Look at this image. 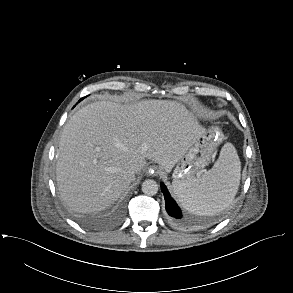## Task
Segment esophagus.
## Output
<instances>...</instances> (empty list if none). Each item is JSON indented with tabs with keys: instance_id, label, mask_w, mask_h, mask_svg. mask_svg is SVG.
<instances>
[{
	"instance_id": "esophagus-1",
	"label": "esophagus",
	"mask_w": 293,
	"mask_h": 293,
	"mask_svg": "<svg viewBox=\"0 0 293 293\" xmlns=\"http://www.w3.org/2000/svg\"><path fill=\"white\" fill-rule=\"evenodd\" d=\"M160 167H158L157 165H152L149 167L148 169V174L151 175V176H156L157 174L160 173Z\"/></svg>"
}]
</instances>
